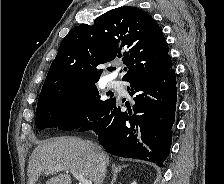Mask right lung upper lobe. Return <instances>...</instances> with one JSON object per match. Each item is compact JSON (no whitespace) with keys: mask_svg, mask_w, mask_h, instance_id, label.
<instances>
[{"mask_svg":"<svg viewBox=\"0 0 224 184\" xmlns=\"http://www.w3.org/2000/svg\"><path fill=\"white\" fill-rule=\"evenodd\" d=\"M122 58L127 81L172 65L160 27L136 7H119L95 19L93 25L74 27L62 40L39 101L75 85L97 82L100 64Z\"/></svg>","mask_w":224,"mask_h":184,"instance_id":"cb5924a9","label":"right lung upper lobe"}]
</instances>
